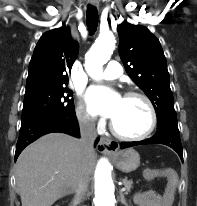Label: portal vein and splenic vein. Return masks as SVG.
Wrapping results in <instances>:
<instances>
[{
  "instance_id": "portal-vein-and-splenic-vein-1",
  "label": "portal vein and splenic vein",
  "mask_w": 197,
  "mask_h": 206,
  "mask_svg": "<svg viewBox=\"0 0 197 206\" xmlns=\"http://www.w3.org/2000/svg\"><path fill=\"white\" fill-rule=\"evenodd\" d=\"M121 191H122V192L125 191V188H122Z\"/></svg>"
}]
</instances>
